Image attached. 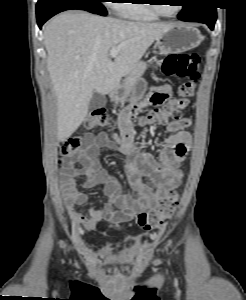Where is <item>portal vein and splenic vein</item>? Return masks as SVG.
<instances>
[{
    "label": "portal vein and splenic vein",
    "instance_id": "1",
    "mask_svg": "<svg viewBox=\"0 0 246 300\" xmlns=\"http://www.w3.org/2000/svg\"><path fill=\"white\" fill-rule=\"evenodd\" d=\"M118 53H119V49H111L110 50V56L112 58H116V56L118 55Z\"/></svg>",
    "mask_w": 246,
    "mask_h": 300
}]
</instances>
